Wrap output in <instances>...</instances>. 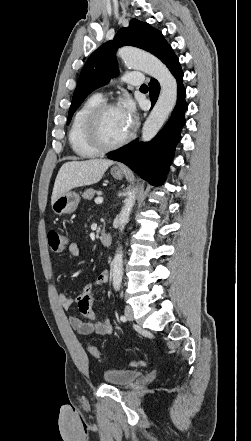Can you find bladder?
I'll return each instance as SVG.
<instances>
[{"mask_svg":"<svg viewBox=\"0 0 251 441\" xmlns=\"http://www.w3.org/2000/svg\"><path fill=\"white\" fill-rule=\"evenodd\" d=\"M140 372L129 369H109L104 371L103 380L113 386H128L132 384L139 376Z\"/></svg>","mask_w":251,"mask_h":441,"instance_id":"1","label":"bladder"}]
</instances>
